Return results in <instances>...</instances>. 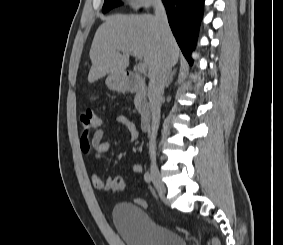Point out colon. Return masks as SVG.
I'll use <instances>...</instances> for the list:
<instances>
[{"instance_id":"1","label":"colon","mask_w":283,"mask_h":245,"mask_svg":"<svg viewBox=\"0 0 283 245\" xmlns=\"http://www.w3.org/2000/svg\"><path fill=\"white\" fill-rule=\"evenodd\" d=\"M81 124H82V132H90L92 129L98 128L101 126L100 118L94 113L91 109H86L81 113L80 116ZM126 187V181L123 177L117 176L113 178L112 182V190L114 191H122ZM135 203L143 208L147 207V203L145 200L141 198H136ZM212 245H220L217 239L212 240Z\"/></svg>"}]
</instances>
